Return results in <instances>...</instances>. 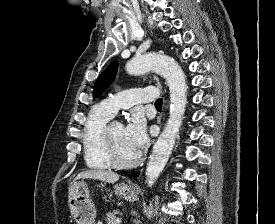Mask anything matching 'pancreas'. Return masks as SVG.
<instances>
[{
    "label": "pancreas",
    "mask_w": 275,
    "mask_h": 224,
    "mask_svg": "<svg viewBox=\"0 0 275 224\" xmlns=\"http://www.w3.org/2000/svg\"><path fill=\"white\" fill-rule=\"evenodd\" d=\"M117 214H118L117 211L108 213L106 217L107 224H117V218H116Z\"/></svg>",
    "instance_id": "obj_1"
}]
</instances>
